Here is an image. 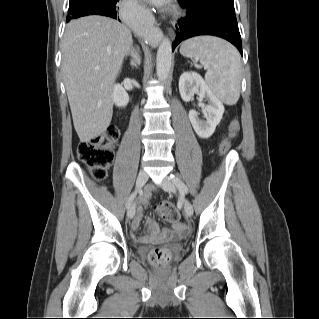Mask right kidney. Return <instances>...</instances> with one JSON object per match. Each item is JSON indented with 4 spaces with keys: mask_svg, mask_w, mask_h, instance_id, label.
Instances as JSON below:
<instances>
[{
    "mask_svg": "<svg viewBox=\"0 0 319 319\" xmlns=\"http://www.w3.org/2000/svg\"><path fill=\"white\" fill-rule=\"evenodd\" d=\"M112 99L116 106L126 107L129 102L128 93L121 85H115L113 87Z\"/></svg>",
    "mask_w": 319,
    "mask_h": 319,
    "instance_id": "ca27d5eb",
    "label": "right kidney"
}]
</instances>
